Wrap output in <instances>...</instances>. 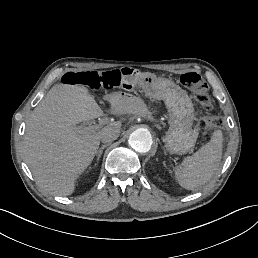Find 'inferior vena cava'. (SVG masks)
<instances>
[{
    "mask_svg": "<svg viewBox=\"0 0 258 258\" xmlns=\"http://www.w3.org/2000/svg\"><path fill=\"white\" fill-rule=\"evenodd\" d=\"M100 134V139L102 142L110 143L119 137L120 131L112 127H106L100 132Z\"/></svg>",
    "mask_w": 258,
    "mask_h": 258,
    "instance_id": "1",
    "label": "inferior vena cava"
}]
</instances>
